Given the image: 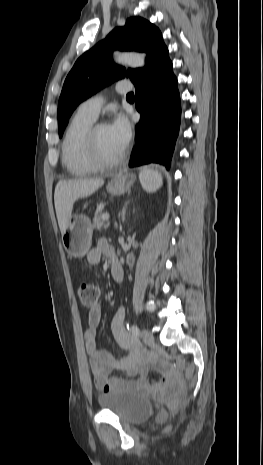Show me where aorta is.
<instances>
[{
  "mask_svg": "<svg viewBox=\"0 0 263 465\" xmlns=\"http://www.w3.org/2000/svg\"><path fill=\"white\" fill-rule=\"evenodd\" d=\"M114 60L117 64L128 65L133 68L145 65V57L135 52L116 53Z\"/></svg>",
  "mask_w": 263,
  "mask_h": 465,
  "instance_id": "762f6f07",
  "label": "aorta"
}]
</instances>
